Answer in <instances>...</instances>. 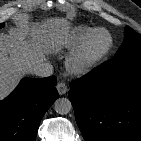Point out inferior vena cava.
Returning a JSON list of instances; mask_svg holds the SVG:
<instances>
[{"label":"inferior vena cava","mask_w":141,"mask_h":141,"mask_svg":"<svg viewBox=\"0 0 141 141\" xmlns=\"http://www.w3.org/2000/svg\"><path fill=\"white\" fill-rule=\"evenodd\" d=\"M33 73L39 77H49L53 73V66L46 60L41 61L34 67Z\"/></svg>","instance_id":"1"}]
</instances>
